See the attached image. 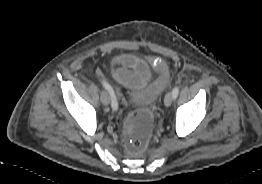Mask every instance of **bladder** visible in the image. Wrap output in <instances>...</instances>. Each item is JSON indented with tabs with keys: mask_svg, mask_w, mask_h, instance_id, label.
<instances>
[{
	"mask_svg": "<svg viewBox=\"0 0 262 184\" xmlns=\"http://www.w3.org/2000/svg\"><path fill=\"white\" fill-rule=\"evenodd\" d=\"M167 81L163 79H154L143 88L131 87L130 102L138 107H144L153 104L163 93Z\"/></svg>",
	"mask_w": 262,
	"mask_h": 184,
	"instance_id": "31cf9c89",
	"label": "bladder"
}]
</instances>
